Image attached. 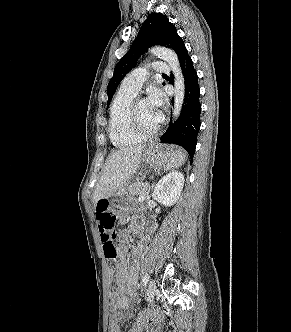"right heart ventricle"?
I'll return each mask as SVG.
<instances>
[{"label":"right heart ventricle","mask_w":291,"mask_h":332,"mask_svg":"<svg viewBox=\"0 0 291 332\" xmlns=\"http://www.w3.org/2000/svg\"><path fill=\"white\" fill-rule=\"evenodd\" d=\"M136 93L120 89L115 96L111 108L108 125L111 142L116 147H126L143 141L130 127L129 111Z\"/></svg>","instance_id":"right-heart-ventricle-1"}]
</instances>
